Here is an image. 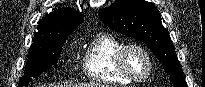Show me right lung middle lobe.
Returning <instances> with one entry per match:
<instances>
[{
    "label": "right lung middle lobe",
    "mask_w": 205,
    "mask_h": 87,
    "mask_svg": "<svg viewBox=\"0 0 205 87\" xmlns=\"http://www.w3.org/2000/svg\"><path fill=\"white\" fill-rule=\"evenodd\" d=\"M66 38L33 41L24 76L20 79L18 87L26 86L31 78L38 77L45 70L57 65Z\"/></svg>",
    "instance_id": "1"
}]
</instances>
